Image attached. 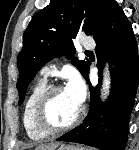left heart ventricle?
Wrapping results in <instances>:
<instances>
[{
  "mask_svg": "<svg viewBox=\"0 0 139 150\" xmlns=\"http://www.w3.org/2000/svg\"><path fill=\"white\" fill-rule=\"evenodd\" d=\"M79 104L65 89L55 92L46 108V118L55 126H64L70 123L77 115Z\"/></svg>",
  "mask_w": 139,
  "mask_h": 150,
  "instance_id": "b2bd125f",
  "label": "left heart ventricle"
}]
</instances>
